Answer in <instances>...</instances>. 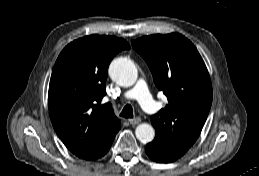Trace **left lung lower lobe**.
I'll list each match as a JSON object with an SVG mask.
<instances>
[{
	"label": "left lung lower lobe",
	"mask_w": 259,
	"mask_h": 176,
	"mask_svg": "<svg viewBox=\"0 0 259 176\" xmlns=\"http://www.w3.org/2000/svg\"><path fill=\"white\" fill-rule=\"evenodd\" d=\"M145 152L153 161L169 163L183 156L187 151L167 147L162 141L154 139L145 147Z\"/></svg>",
	"instance_id": "0a47b994"
}]
</instances>
